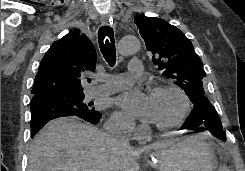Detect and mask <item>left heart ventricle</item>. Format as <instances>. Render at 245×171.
<instances>
[{
    "label": "left heart ventricle",
    "instance_id": "b2bd125f",
    "mask_svg": "<svg viewBox=\"0 0 245 171\" xmlns=\"http://www.w3.org/2000/svg\"><path fill=\"white\" fill-rule=\"evenodd\" d=\"M155 123H167L173 120L181 109L178 96L171 92L152 94Z\"/></svg>",
    "mask_w": 245,
    "mask_h": 171
}]
</instances>
